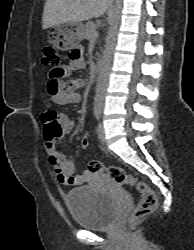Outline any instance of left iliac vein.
<instances>
[{
  "instance_id": "left-iliac-vein-1",
  "label": "left iliac vein",
  "mask_w": 194,
  "mask_h": 250,
  "mask_svg": "<svg viewBox=\"0 0 194 250\" xmlns=\"http://www.w3.org/2000/svg\"><path fill=\"white\" fill-rule=\"evenodd\" d=\"M97 136L101 142L105 141V129L102 123H100L97 127Z\"/></svg>"
}]
</instances>
